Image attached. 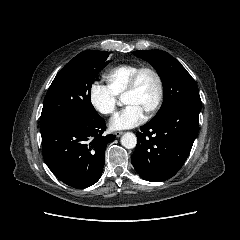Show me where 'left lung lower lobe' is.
<instances>
[{
  "mask_svg": "<svg viewBox=\"0 0 240 240\" xmlns=\"http://www.w3.org/2000/svg\"><path fill=\"white\" fill-rule=\"evenodd\" d=\"M200 105L177 104L141 127L131 161L143 179L165 181L180 170L197 135Z\"/></svg>",
  "mask_w": 240,
  "mask_h": 240,
  "instance_id": "0a47b994",
  "label": "left lung lower lobe"
}]
</instances>
